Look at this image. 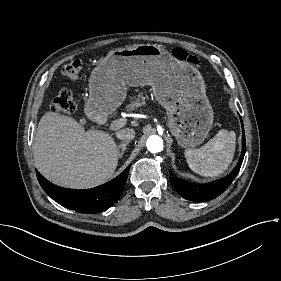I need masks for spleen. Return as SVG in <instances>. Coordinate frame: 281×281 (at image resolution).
Masks as SVG:
<instances>
[{"label":"spleen","mask_w":281,"mask_h":281,"mask_svg":"<svg viewBox=\"0 0 281 281\" xmlns=\"http://www.w3.org/2000/svg\"><path fill=\"white\" fill-rule=\"evenodd\" d=\"M228 124L232 125V121ZM236 141L237 136L234 130H221L202 147L185 150L189 168L206 178L220 176L228 170L234 159Z\"/></svg>","instance_id":"3e777b00"}]
</instances>
